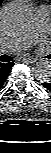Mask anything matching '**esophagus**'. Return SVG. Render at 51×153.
Segmentation results:
<instances>
[{"label":"esophagus","mask_w":51,"mask_h":153,"mask_svg":"<svg viewBox=\"0 0 51 153\" xmlns=\"http://www.w3.org/2000/svg\"><path fill=\"white\" fill-rule=\"evenodd\" d=\"M22 62L31 64V63H34L35 62V59L34 58L27 57V58H23L22 59Z\"/></svg>","instance_id":"1"}]
</instances>
